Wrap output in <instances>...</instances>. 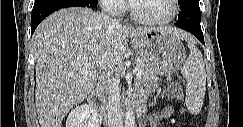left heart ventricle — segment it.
<instances>
[{
    "mask_svg": "<svg viewBox=\"0 0 243 127\" xmlns=\"http://www.w3.org/2000/svg\"><path fill=\"white\" fill-rule=\"evenodd\" d=\"M136 12L145 18H164L171 13L169 0H136Z\"/></svg>",
    "mask_w": 243,
    "mask_h": 127,
    "instance_id": "left-heart-ventricle-1",
    "label": "left heart ventricle"
}]
</instances>
